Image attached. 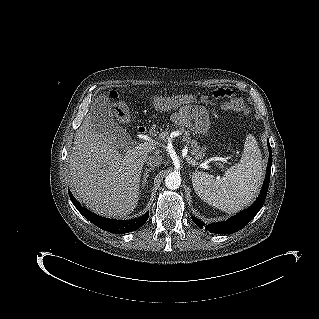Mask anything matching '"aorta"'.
<instances>
[{
	"instance_id": "1",
	"label": "aorta",
	"mask_w": 319,
	"mask_h": 319,
	"mask_svg": "<svg viewBox=\"0 0 319 319\" xmlns=\"http://www.w3.org/2000/svg\"><path fill=\"white\" fill-rule=\"evenodd\" d=\"M165 185L170 190L178 189L181 185L180 174L172 172L165 178Z\"/></svg>"
}]
</instances>
